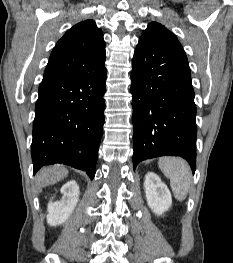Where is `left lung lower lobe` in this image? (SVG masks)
<instances>
[{"label":"left lung lower lobe","mask_w":233,"mask_h":263,"mask_svg":"<svg viewBox=\"0 0 233 263\" xmlns=\"http://www.w3.org/2000/svg\"><path fill=\"white\" fill-rule=\"evenodd\" d=\"M133 166L163 155L196 169V105L183 48L139 42L131 74Z\"/></svg>","instance_id":"1"}]
</instances>
